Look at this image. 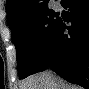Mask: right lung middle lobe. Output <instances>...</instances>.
<instances>
[{"label":"right lung middle lobe","instance_id":"1","mask_svg":"<svg viewBox=\"0 0 89 89\" xmlns=\"http://www.w3.org/2000/svg\"><path fill=\"white\" fill-rule=\"evenodd\" d=\"M54 18V11L47 7L42 12L24 17L10 27L21 79L37 72L39 62L60 23L59 19Z\"/></svg>","mask_w":89,"mask_h":89}]
</instances>
